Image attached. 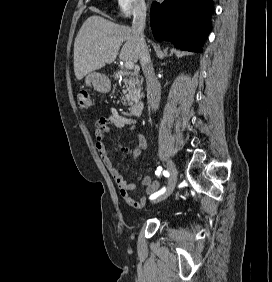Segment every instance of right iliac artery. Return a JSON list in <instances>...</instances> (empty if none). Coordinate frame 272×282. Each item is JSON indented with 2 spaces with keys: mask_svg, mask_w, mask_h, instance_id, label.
Here are the masks:
<instances>
[{
  "mask_svg": "<svg viewBox=\"0 0 272 282\" xmlns=\"http://www.w3.org/2000/svg\"><path fill=\"white\" fill-rule=\"evenodd\" d=\"M161 171H162V167H158L157 170L155 171V174H156L157 176H160ZM163 174H164V176H166V177L169 176V172H168V171H164ZM165 190H166V188L163 187V188H162L161 190H159L158 192L152 194V195L150 196V199H151V200L156 199L158 196H160L161 194H163V193L165 192Z\"/></svg>",
  "mask_w": 272,
  "mask_h": 282,
  "instance_id": "1",
  "label": "right iliac artery"
}]
</instances>
